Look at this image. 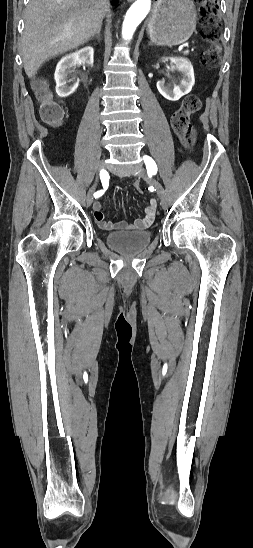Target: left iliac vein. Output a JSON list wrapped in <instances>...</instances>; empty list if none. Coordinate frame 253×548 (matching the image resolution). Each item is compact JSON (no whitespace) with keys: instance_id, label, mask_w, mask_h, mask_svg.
<instances>
[{"instance_id":"left-iliac-vein-1","label":"left iliac vein","mask_w":253,"mask_h":548,"mask_svg":"<svg viewBox=\"0 0 253 548\" xmlns=\"http://www.w3.org/2000/svg\"><path fill=\"white\" fill-rule=\"evenodd\" d=\"M138 176L148 180L149 183L155 188V191L161 201V205L164 207L166 205L167 195L161 183L154 178H149L143 168H140V170L138 171Z\"/></svg>"}]
</instances>
